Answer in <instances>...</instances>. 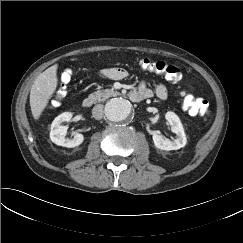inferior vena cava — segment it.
<instances>
[{
    "label": "inferior vena cava",
    "mask_w": 243,
    "mask_h": 243,
    "mask_svg": "<svg viewBox=\"0 0 243 243\" xmlns=\"http://www.w3.org/2000/svg\"><path fill=\"white\" fill-rule=\"evenodd\" d=\"M92 115L95 119L100 120L103 117V105L97 104L92 109Z\"/></svg>",
    "instance_id": "602c4592"
}]
</instances>
